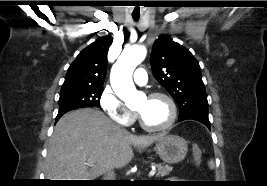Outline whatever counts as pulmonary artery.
Segmentation results:
<instances>
[{
  "label": "pulmonary artery",
  "instance_id": "obj_1",
  "mask_svg": "<svg viewBox=\"0 0 267 186\" xmlns=\"http://www.w3.org/2000/svg\"><path fill=\"white\" fill-rule=\"evenodd\" d=\"M134 81L139 85L146 84L148 76L146 71L143 68H138L133 75Z\"/></svg>",
  "mask_w": 267,
  "mask_h": 186
}]
</instances>
